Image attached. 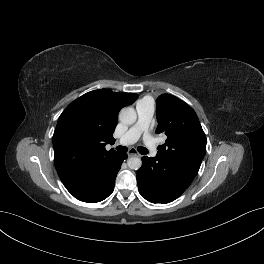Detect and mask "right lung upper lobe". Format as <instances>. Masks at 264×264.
I'll return each instance as SVG.
<instances>
[{
	"mask_svg": "<svg viewBox=\"0 0 264 264\" xmlns=\"http://www.w3.org/2000/svg\"><path fill=\"white\" fill-rule=\"evenodd\" d=\"M138 95L99 89L88 92L60 115L53 135L54 162L66 189L84 201L104 185L103 174L118 152L105 149L114 143L119 111Z\"/></svg>",
	"mask_w": 264,
	"mask_h": 264,
	"instance_id": "cb5924a9",
	"label": "right lung upper lobe"
}]
</instances>
